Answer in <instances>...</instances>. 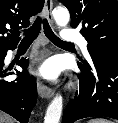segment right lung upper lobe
Returning <instances> with one entry per match:
<instances>
[{
    "label": "right lung upper lobe",
    "instance_id": "right-lung-upper-lobe-1",
    "mask_svg": "<svg viewBox=\"0 0 118 123\" xmlns=\"http://www.w3.org/2000/svg\"><path fill=\"white\" fill-rule=\"evenodd\" d=\"M44 0H0V51L16 47L19 29L43 8Z\"/></svg>",
    "mask_w": 118,
    "mask_h": 123
}]
</instances>
